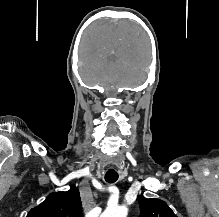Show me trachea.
Instances as JSON below:
<instances>
[{
	"label": "trachea",
	"instance_id": "1",
	"mask_svg": "<svg viewBox=\"0 0 219 217\" xmlns=\"http://www.w3.org/2000/svg\"><path fill=\"white\" fill-rule=\"evenodd\" d=\"M118 173L116 171H113V170H109L106 172L105 174V180L106 182L108 183H114L117 181L118 179Z\"/></svg>",
	"mask_w": 219,
	"mask_h": 217
}]
</instances>
